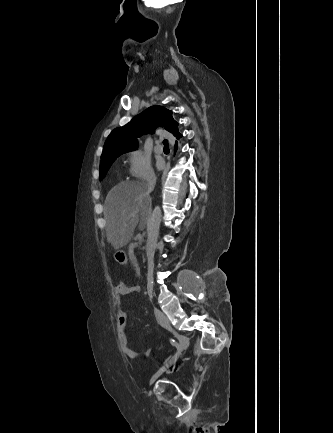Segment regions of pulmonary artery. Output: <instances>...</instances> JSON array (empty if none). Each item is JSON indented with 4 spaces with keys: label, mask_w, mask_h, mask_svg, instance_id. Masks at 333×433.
Here are the masks:
<instances>
[{
    "label": "pulmonary artery",
    "mask_w": 333,
    "mask_h": 433,
    "mask_svg": "<svg viewBox=\"0 0 333 433\" xmlns=\"http://www.w3.org/2000/svg\"><path fill=\"white\" fill-rule=\"evenodd\" d=\"M155 151H156L158 154L163 153V147H162V145H161L160 143H158V144L155 146Z\"/></svg>",
    "instance_id": "e3ab8cb5"
}]
</instances>
